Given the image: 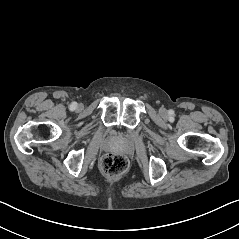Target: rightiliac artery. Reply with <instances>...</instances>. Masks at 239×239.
Instances as JSON below:
<instances>
[{"mask_svg": "<svg viewBox=\"0 0 239 239\" xmlns=\"http://www.w3.org/2000/svg\"><path fill=\"white\" fill-rule=\"evenodd\" d=\"M76 107H77V103L76 102L71 103V105H70V109L71 110H74Z\"/></svg>", "mask_w": 239, "mask_h": 239, "instance_id": "obj_1", "label": "right iliac artery"}]
</instances>
